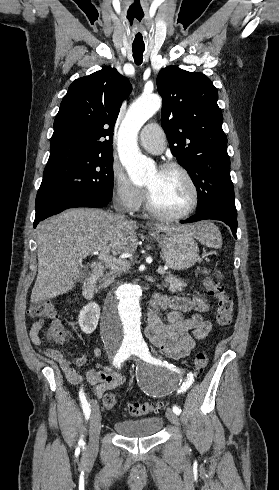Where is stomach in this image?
<instances>
[{"mask_svg":"<svg viewBox=\"0 0 279 490\" xmlns=\"http://www.w3.org/2000/svg\"><path fill=\"white\" fill-rule=\"evenodd\" d=\"M150 234L159 244L162 260L174 272L188 270L200 262L199 248L190 234H183V232H162V234L150 232Z\"/></svg>","mask_w":279,"mask_h":490,"instance_id":"stomach-1","label":"stomach"}]
</instances>
